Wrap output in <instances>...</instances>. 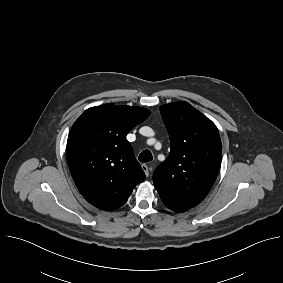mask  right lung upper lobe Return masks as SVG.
<instances>
[{
  "instance_id": "obj_1",
  "label": "right lung upper lobe",
  "mask_w": 283,
  "mask_h": 283,
  "mask_svg": "<svg viewBox=\"0 0 283 283\" xmlns=\"http://www.w3.org/2000/svg\"><path fill=\"white\" fill-rule=\"evenodd\" d=\"M150 113L109 103L87 109L73 124L67 140L69 168L78 190L95 207H121L145 180L126 135Z\"/></svg>"
}]
</instances>
